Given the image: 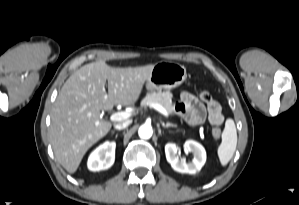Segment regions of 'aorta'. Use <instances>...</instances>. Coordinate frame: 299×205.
<instances>
[{"label":"aorta","mask_w":299,"mask_h":205,"mask_svg":"<svg viewBox=\"0 0 299 205\" xmlns=\"http://www.w3.org/2000/svg\"><path fill=\"white\" fill-rule=\"evenodd\" d=\"M138 134L142 139H149L153 134V129L149 124H143L138 130Z\"/></svg>","instance_id":"obj_1"}]
</instances>
